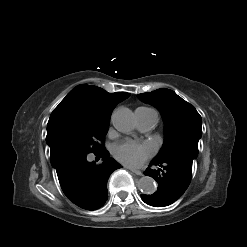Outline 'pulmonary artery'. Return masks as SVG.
Segmentation results:
<instances>
[{
  "label": "pulmonary artery",
  "instance_id": "obj_1",
  "mask_svg": "<svg viewBox=\"0 0 247 247\" xmlns=\"http://www.w3.org/2000/svg\"><path fill=\"white\" fill-rule=\"evenodd\" d=\"M138 128L146 131L154 125L157 114L154 110L138 108L135 112Z\"/></svg>",
  "mask_w": 247,
  "mask_h": 247
}]
</instances>
